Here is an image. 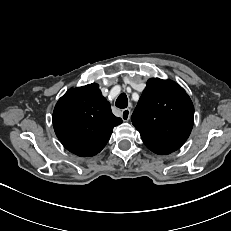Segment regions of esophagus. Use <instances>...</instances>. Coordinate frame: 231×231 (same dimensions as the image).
Here are the masks:
<instances>
[{
  "instance_id": "obj_1",
  "label": "esophagus",
  "mask_w": 231,
  "mask_h": 231,
  "mask_svg": "<svg viewBox=\"0 0 231 231\" xmlns=\"http://www.w3.org/2000/svg\"><path fill=\"white\" fill-rule=\"evenodd\" d=\"M130 115H131V110L129 108H126L121 112V118L123 121H128L130 119Z\"/></svg>"
}]
</instances>
